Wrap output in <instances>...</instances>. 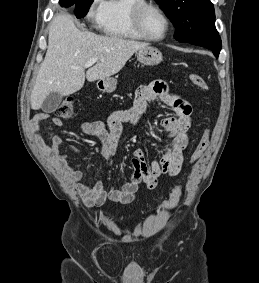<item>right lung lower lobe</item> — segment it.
<instances>
[{
	"mask_svg": "<svg viewBox=\"0 0 259 283\" xmlns=\"http://www.w3.org/2000/svg\"><path fill=\"white\" fill-rule=\"evenodd\" d=\"M72 4H74V1L72 0H60V5L62 7H68L71 6Z\"/></svg>",
	"mask_w": 259,
	"mask_h": 283,
	"instance_id": "98d812e1",
	"label": "right lung lower lobe"
}]
</instances>
